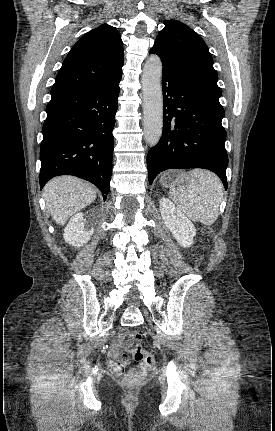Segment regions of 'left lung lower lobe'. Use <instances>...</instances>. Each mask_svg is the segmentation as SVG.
Listing matches in <instances>:
<instances>
[{
  "mask_svg": "<svg viewBox=\"0 0 275 431\" xmlns=\"http://www.w3.org/2000/svg\"><path fill=\"white\" fill-rule=\"evenodd\" d=\"M162 90L163 132L148 152L149 183L166 169L204 168L216 173L227 189L226 131L221 124L224 109L165 67Z\"/></svg>",
  "mask_w": 275,
  "mask_h": 431,
  "instance_id": "0a47b994",
  "label": "left lung lower lobe"
}]
</instances>
